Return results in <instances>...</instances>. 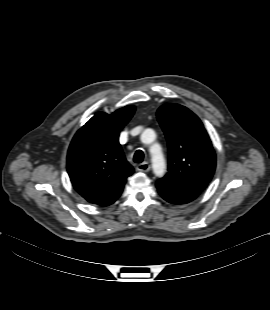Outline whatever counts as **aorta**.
Instances as JSON below:
<instances>
[{
  "label": "aorta",
  "mask_w": 270,
  "mask_h": 310,
  "mask_svg": "<svg viewBox=\"0 0 270 310\" xmlns=\"http://www.w3.org/2000/svg\"><path fill=\"white\" fill-rule=\"evenodd\" d=\"M155 136V132L152 129H146L141 135V140L143 142H150L155 139ZM150 151L152 155L151 161L153 172L157 177H162L166 170V163L161 151V147L159 144H153Z\"/></svg>",
  "instance_id": "aorta-1"
}]
</instances>
